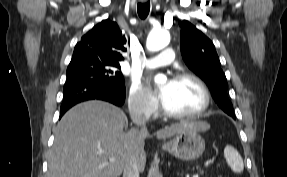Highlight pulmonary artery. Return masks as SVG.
I'll return each instance as SVG.
<instances>
[{
    "mask_svg": "<svg viewBox=\"0 0 287 177\" xmlns=\"http://www.w3.org/2000/svg\"><path fill=\"white\" fill-rule=\"evenodd\" d=\"M174 60L173 48H166L160 54L148 58L145 62L147 68H158L169 65Z\"/></svg>",
    "mask_w": 287,
    "mask_h": 177,
    "instance_id": "pulmonary-artery-1",
    "label": "pulmonary artery"
}]
</instances>
